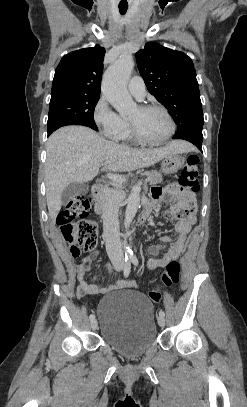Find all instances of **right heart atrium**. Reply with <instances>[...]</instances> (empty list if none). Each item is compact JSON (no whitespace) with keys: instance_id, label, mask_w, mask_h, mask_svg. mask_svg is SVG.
Instances as JSON below:
<instances>
[{"instance_id":"d8ad5b80","label":"right heart atrium","mask_w":247,"mask_h":407,"mask_svg":"<svg viewBox=\"0 0 247 407\" xmlns=\"http://www.w3.org/2000/svg\"><path fill=\"white\" fill-rule=\"evenodd\" d=\"M93 120L102 134L113 140L119 138L126 126V121L114 111L105 96L97 100L93 108Z\"/></svg>"}]
</instances>
